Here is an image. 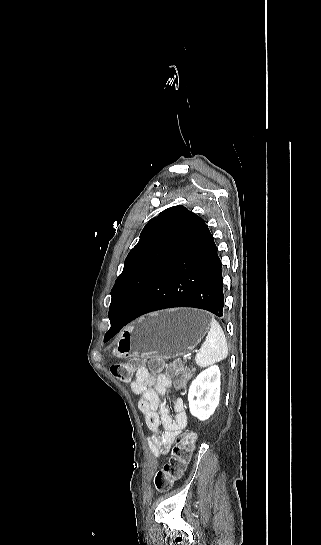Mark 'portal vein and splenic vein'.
Wrapping results in <instances>:
<instances>
[{"label": "portal vein and splenic vein", "instance_id": "obj_1", "mask_svg": "<svg viewBox=\"0 0 321 545\" xmlns=\"http://www.w3.org/2000/svg\"><path fill=\"white\" fill-rule=\"evenodd\" d=\"M208 344H212V341H208ZM196 353H197V351H196Z\"/></svg>", "mask_w": 321, "mask_h": 545}]
</instances>
